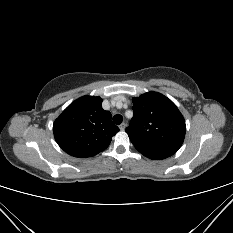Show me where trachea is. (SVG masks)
<instances>
[{
  "label": "trachea",
  "mask_w": 233,
  "mask_h": 233,
  "mask_svg": "<svg viewBox=\"0 0 233 233\" xmlns=\"http://www.w3.org/2000/svg\"><path fill=\"white\" fill-rule=\"evenodd\" d=\"M123 121V117L120 114H116L113 116V122L117 125H120Z\"/></svg>",
  "instance_id": "1"
}]
</instances>
